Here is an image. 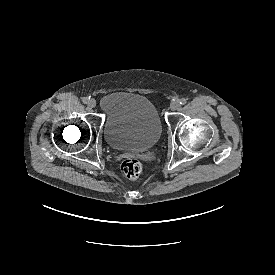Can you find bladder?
<instances>
[{
	"mask_svg": "<svg viewBox=\"0 0 275 275\" xmlns=\"http://www.w3.org/2000/svg\"><path fill=\"white\" fill-rule=\"evenodd\" d=\"M104 115V137L114 149L144 151L161 135V122L155 106L145 97L114 92L99 101Z\"/></svg>",
	"mask_w": 275,
	"mask_h": 275,
	"instance_id": "31cf9c89",
	"label": "bladder"
}]
</instances>
